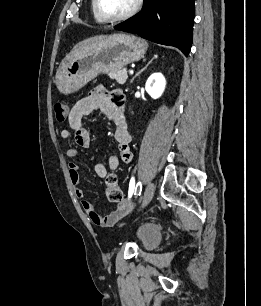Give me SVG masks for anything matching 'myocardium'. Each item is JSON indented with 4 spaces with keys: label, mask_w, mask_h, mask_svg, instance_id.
I'll list each match as a JSON object with an SVG mask.
<instances>
[{
    "label": "myocardium",
    "mask_w": 261,
    "mask_h": 306,
    "mask_svg": "<svg viewBox=\"0 0 261 306\" xmlns=\"http://www.w3.org/2000/svg\"><path fill=\"white\" fill-rule=\"evenodd\" d=\"M142 4L143 0H135L133 7L125 14L120 16H108L102 11L100 6V0H94V10L96 14L100 17V19L103 20L104 22L114 23V22L127 20L132 16H134L140 10Z\"/></svg>",
    "instance_id": "f54148a6"
}]
</instances>
